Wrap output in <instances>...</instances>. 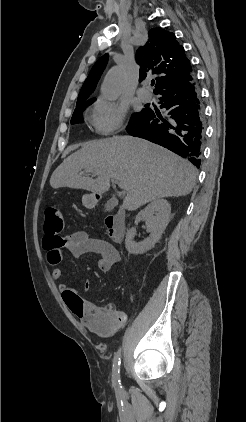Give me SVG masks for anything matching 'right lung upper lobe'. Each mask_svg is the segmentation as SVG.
I'll list each match as a JSON object with an SVG mask.
<instances>
[{
	"instance_id": "obj_1",
	"label": "right lung upper lobe",
	"mask_w": 246,
	"mask_h": 422,
	"mask_svg": "<svg viewBox=\"0 0 246 422\" xmlns=\"http://www.w3.org/2000/svg\"><path fill=\"white\" fill-rule=\"evenodd\" d=\"M107 60L108 55L105 54L93 65L81 88L76 107L96 100L88 97L94 91ZM136 61L141 65L140 80L150 75L156 76L155 94L194 78L192 66L184 54L183 46L179 45L172 32L161 28L149 31V40L137 50Z\"/></svg>"
}]
</instances>
